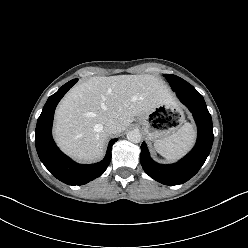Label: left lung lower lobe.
I'll return each mask as SVG.
<instances>
[{
  "label": "left lung lower lobe",
  "instance_id": "obj_1",
  "mask_svg": "<svg viewBox=\"0 0 248 248\" xmlns=\"http://www.w3.org/2000/svg\"><path fill=\"white\" fill-rule=\"evenodd\" d=\"M176 94L191 111L197 124L198 136L194 148L177 163L161 165L150 158L145 142L141 145L140 162L144 171L165 185H178L191 179L206 161L214 139L211 115L202 95L197 91Z\"/></svg>",
  "mask_w": 248,
  "mask_h": 248
}]
</instances>
